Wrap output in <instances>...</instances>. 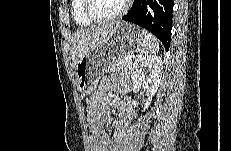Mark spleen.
<instances>
[{
    "mask_svg": "<svg viewBox=\"0 0 231 151\" xmlns=\"http://www.w3.org/2000/svg\"><path fill=\"white\" fill-rule=\"evenodd\" d=\"M141 34L143 36V43L140 49L141 54H154L159 50L158 40L147 30L142 29Z\"/></svg>",
    "mask_w": 231,
    "mask_h": 151,
    "instance_id": "spleen-1",
    "label": "spleen"
}]
</instances>
